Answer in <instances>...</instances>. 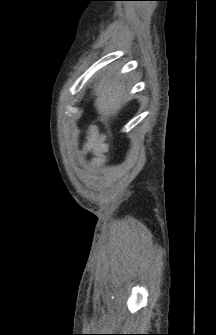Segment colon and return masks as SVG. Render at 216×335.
Wrapping results in <instances>:
<instances>
[{"label": "colon", "mask_w": 216, "mask_h": 335, "mask_svg": "<svg viewBox=\"0 0 216 335\" xmlns=\"http://www.w3.org/2000/svg\"><path fill=\"white\" fill-rule=\"evenodd\" d=\"M86 147L92 151V154L85 155L84 164L87 167V176L91 177V172H106V165L109 163L107 151H101L106 147V142L102 141V136L96 128L90 130Z\"/></svg>", "instance_id": "1"}]
</instances>
